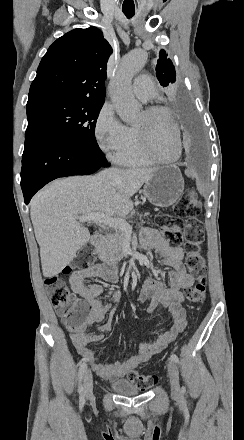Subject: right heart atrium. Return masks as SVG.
<instances>
[{
    "label": "right heart atrium",
    "instance_id": "1",
    "mask_svg": "<svg viewBox=\"0 0 244 440\" xmlns=\"http://www.w3.org/2000/svg\"><path fill=\"white\" fill-rule=\"evenodd\" d=\"M94 134L100 148L111 158L116 152L130 151L136 145L130 127L121 122L109 103L103 105L96 118Z\"/></svg>",
    "mask_w": 244,
    "mask_h": 440
}]
</instances>
